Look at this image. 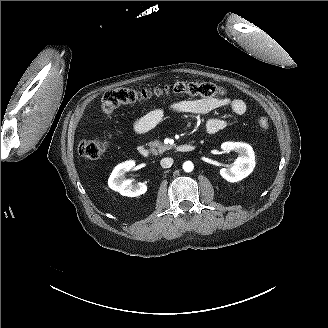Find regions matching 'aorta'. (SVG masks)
<instances>
[{"label": "aorta", "instance_id": "1", "mask_svg": "<svg viewBox=\"0 0 328 328\" xmlns=\"http://www.w3.org/2000/svg\"><path fill=\"white\" fill-rule=\"evenodd\" d=\"M194 169V165L191 161H186L183 163V170L185 172H191Z\"/></svg>", "mask_w": 328, "mask_h": 328}]
</instances>
